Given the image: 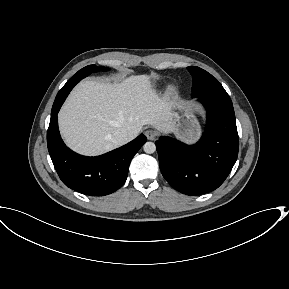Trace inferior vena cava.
Segmentation results:
<instances>
[{"label":"inferior vena cava","instance_id":"602c4592","mask_svg":"<svg viewBox=\"0 0 289 289\" xmlns=\"http://www.w3.org/2000/svg\"><path fill=\"white\" fill-rule=\"evenodd\" d=\"M112 137H113V141L117 145H123L128 142V134L124 130H117L116 132H114Z\"/></svg>","mask_w":289,"mask_h":289}]
</instances>
